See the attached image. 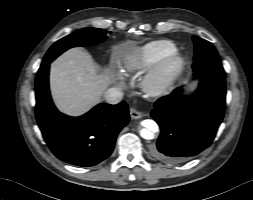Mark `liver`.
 <instances>
[{
    "label": "liver",
    "instance_id": "1",
    "mask_svg": "<svg viewBox=\"0 0 253 200\" xmlns=\"http://www.w3.org/2000/svg\"><path fill=\"white\" fill-rule=\"evenodd\" d=\"M134 63L132 56L129 57ZM111 76L99 74L90 54L72 48L59 56L50 67V89L57 108L70 116H79L97 104Z\"/></svg>",
    "mask_w": 253,
    "mask_h": 200
}]
</instances>
